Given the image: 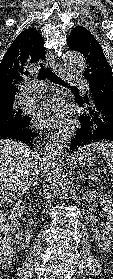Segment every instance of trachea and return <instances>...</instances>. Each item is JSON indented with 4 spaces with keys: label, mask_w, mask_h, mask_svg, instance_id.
I'll return each mask as SVG.
<instances>
[{
    "label": "trachea",
    "mask_w": 113,
    "mask_h": 279,
    "mask_svg": "<svg viewBox=\"0 0 113 279\" xmlns=\"http://www.w3.org/2000/svg\"><path fill=\"white\" fill-rule=\"evenodd\" d=\"M48 79L51 82L58 84V85H62V86H67V84H65V82L58 77L57 75H55L48 67H45L43 64L41 65V68L39 70L37 79L38 80H43V79ZM72 89H76L75 87H71Z\"/></svg>",
    "instance_id": "1"
}]
</instances>
